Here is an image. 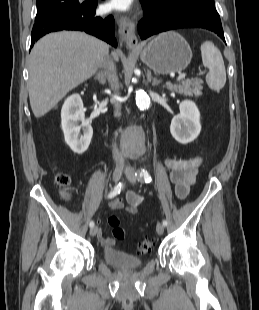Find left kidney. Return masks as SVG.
<instances>
[{
  "mask_svg": "<svg viewBox=\"0 0 259 310\" xmlns=\"http://www.w3.org/2000/svg\"><path fill=\"white\" fill-rule=\"evenodd\" d=\"M179 109L180 113L171 121L170 132L177 142L188 144L194 141L201 131L200 112L190 100L182 101Z\"/></svg>",
  "mask_w": 259,
  "mask_h": 310,
  "instance_id": "5707ae66",
  "label": "left kidney"
}]
</instances>
